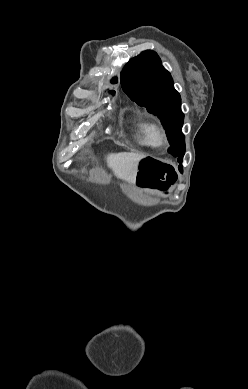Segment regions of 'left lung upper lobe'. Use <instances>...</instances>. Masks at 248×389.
<instances>
[{"label": "left lung upper lobe", "instance_id": "left-lung-upper-lobe-1", "mask_svg": "<svg viewBox=\"0 0 248 389\" xmlns=\"http://www.w3.org/2000/svg\"><path fill=\"white\" fill-rule=\"evenodd\" d=\"M121 85L128 97L161 119L170 143L169 152L182 162L185 139L181 131V98L159 56L146 50L131 59L121 73Z\"/></svg>", "mask_w": 248, "mask_h": 389}]
</instances>
